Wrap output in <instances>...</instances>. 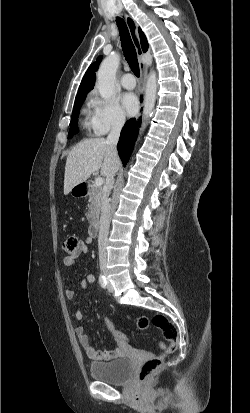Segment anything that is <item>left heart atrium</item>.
Listing matches in <instances>:
<instances>
[{
	"label": "left heart atrium",
	"instance_id": "obj_1",
	"mask_svg": "<svg viewBox=\"0 0 250 413\" xmlns=\"http://www.w3.org/2000/svg\"><path fill=\"white\" fill-rule=\"evenodd\" d=\"M122 105L128 115H134L138 109V100L135 94L125 93L122 96Z\"/></svg>",
	"mask_w": 250,
	"mask_h": 413
}]
</instances>
